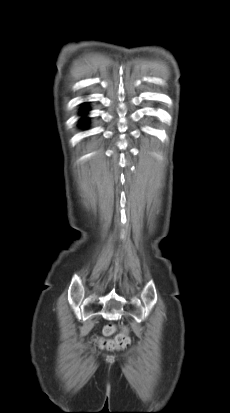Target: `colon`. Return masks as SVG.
Segmentation results:
<instances>
[{"label": "colon", "mask_w": 230, "mask_h": 413, "mask_svg": "<svg viewBox=\"0 0 230 413\" xmlns=\"http://www.w3.org/2000/svg\"><path fill=\"white\" fill-rule=\"evenodd\" d=\"M114 332L115 326L113 324H108L103 329L105 336H110L114 334ZM98 342L102 348H106L108 350H123L129 346L130 337L127 331H123L117 334L113 339L100 338Z\"/></svg>", "instance_id": "5ec220e1"}]
</instances>
